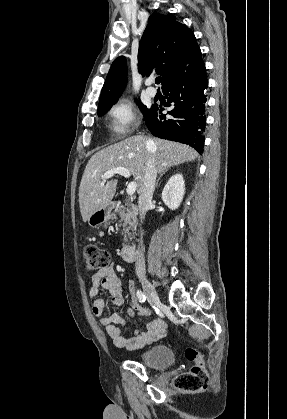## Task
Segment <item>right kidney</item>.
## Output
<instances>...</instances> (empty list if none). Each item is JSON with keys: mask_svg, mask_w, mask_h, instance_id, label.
Returning <instances> with one entry per match:
<instances>
[{"mask_svg": "<svg viewBox=\"0 0 287 419\" xmlns=\"http://www.w3.org/2000/svg\"><path fill=\"white\" fill-rule=\"evenodd\" d=\"M185 194V184L182 174L173 175L166 183L161 198L168 208L177 209Z\"/></svg>", "mask_w": 287, "mask_h": 419, "instance_id": "ca27d5eb", "label": "right kidney"}]
</instances>
